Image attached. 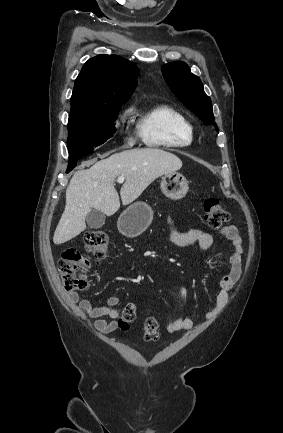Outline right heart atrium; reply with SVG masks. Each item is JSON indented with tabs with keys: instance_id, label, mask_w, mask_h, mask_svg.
Wrapping results in <instances>:
<instances>
[{
	"instance_id": "obj_1",
	"label": "right heart atrium",
	"mask_w": 283,
	"mask_h": 433,
	"mask_svg": "<svg viewBox=\"0 0 283 433\" xmlns=\"http://www.w3.org/2000/svg\"><path fill=\"white\" fill-rule=\"evenodd\" d=\"M128 113H129V109L126 110L123 114H121L113 122V131L121 141L120 149L132 147L135 143V138L131 134L129 128L126 126V122H125Z\"/></svg>"
}]
</instances>
